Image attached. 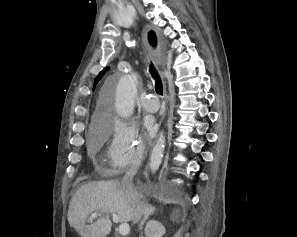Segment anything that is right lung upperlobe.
Masks as SVG:
<instances>
[{"label": "right lung upper lobe", "instance_id": "cb5924a9", "mask_svg": "<svg viewBox=\"0 0 297 237\" xmlns=\"http://www.w3.org/2000/svg\"><path fill=\"white\" fill-rule=\"evenodd\" d=\"M149 40L150 42L153 44V45H156V36H155V33L153 31H151L149 33ZM108 70V67L103 69L99 74L98 76L96 77L95 79V82H94V86L99 82V80L103 77V75L105 74V72Z\"/></svg>", "mask_w": 297, "mask_h": 237}]
</instances>
